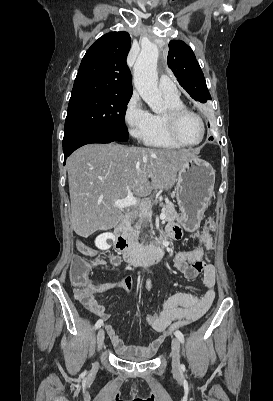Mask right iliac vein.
Wrapping results in <instances>:
<instances>
[{"label": "right iliac vein", "mask_w": 273, "mask_h": 401, "mask_svg": "<svg viewBox=\"0 0 273 401\" xmlns=\"http://www.w3.org/2000/svg\"><path fill=\"white\" fill-rule=\"evenodd\" d=\"M104 338H105V333H104V330L101 328V329H99V331L97 333V347H98V350H101V348L103 347ZM97 365H98V362H96V366Z\"/></svg>", "instance_id": "63e3f726"}]
</instances>
